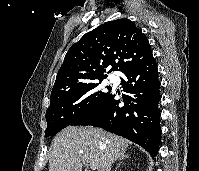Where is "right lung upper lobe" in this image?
<instances>
[{"label":"right lung upper lobe","instance_id":"right-lung-upper-lobe-1","mask_svg":"<svg viewBox=\"0 0 199 171\" xmlns=\"http://www.w3.org/2000/svg\"><path fill=\"white\" fill-rule=\"evenodd\" d=\"M152 56L151 46L141 29L129 19L106 22L86 33L72 45L59 69L50 104L83 84L106 78Z\"/></svg>","mask_w":199,"mask_h":171}]
</instances>
